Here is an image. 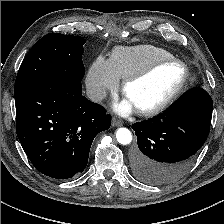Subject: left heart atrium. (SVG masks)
<instances>
[{"mask_svg":"<svg viewBox=\"0 0 224 224\" xmlns=\"http://www.w3.org/2000/svg\"><path fill=\"white\" fill-rule=\"evenodd\" d=\"M115 111L121 115L132 113L136 108L134 104L128 99H124L114 107Z\"/></svg>","mask_w":224,"mask_h":224,"instance_id":"39dd6f15","label":"left heart atrium"}]
</instances>
